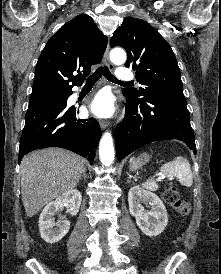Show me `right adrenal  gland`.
<instances>
[{
  "label": "right adrenal gland",
  "mask_w": 221,
  "mask_h": 274,
  "mask_svg": "<svg viewBox=\"0 0 221 274\" xmlns=\"http://www.w3.org/2000/svg\"><path fill=\"white\" fill-rule=\"evenodd\" d=\"M82 179H84V181H86V179H87L86 168H84L83 175L81 176L80 181H81Z\"/></svg>",
  "instance_id": "1"
}]
</instances>
